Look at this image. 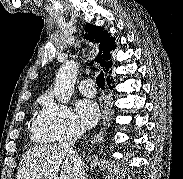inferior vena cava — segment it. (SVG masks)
Returning <instances> with one entry per match:
<instances>
[{
  "label": "inferior vena cava",
  "mask_w": 183,
  "mask_h": 179,
  "mask_svg": "<svg viewBox=\"0 0 183 179\" xmlns=\"http://www.w3.org/2000/svg\"><path fill=\"white\" fill-rule=\"evenodd\" d=\"M83 133L82 129H71L64 140L59 144V147L69 152L73 156L74 162V174L73 179H86L85 178V168L82 158L73 149L74 143L81 137Z\"/></svg>",
  "instance_id": "1"
}]
</instances>
